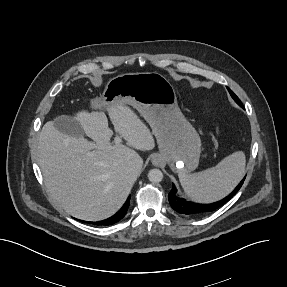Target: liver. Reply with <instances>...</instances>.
<instances>
[{
  "mask_svg": "<svg viewBox=\"0 0 287 287\" xmlns=\"http://www.w3.org/2000/svg\"><path fill=\"white\" fill-rule=\"evenodd\" d=\"M107 111L115 132L128 146L110 143L112 131L103 111L75 114L93 142L58 131L53 121L45 123L39 135L38 164L50 195L67 213L82 220L98 221L116 213L139 174L131 167L140 157L133 148L155 147L152 133L130 108L112 105Z\"/></svg>",
  "mask_w": 287,
  "mask_h": 287,
  "instance_id": "obj_1",
  "label": "liver"
}]
</instances>
